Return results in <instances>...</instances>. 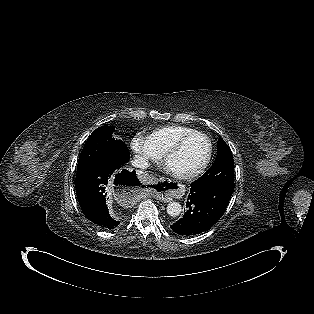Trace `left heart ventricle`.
<instances>
[{"label":"left heart ventricle","instance_id":"b2bd125f","mask_svg":"<svg viewBox=\"0 0 314 314\" xmlns=\"http://www.w3.org/2000/svg\"><path fill=\"white\" fill-rule=\"evenodd\" d=\"M208 154V142L202 136L187 140L181 151L170 160V168L180 173H187L200 167Z\"/></svg>","mask_w":314,"mask_h":314}]
</instances>
